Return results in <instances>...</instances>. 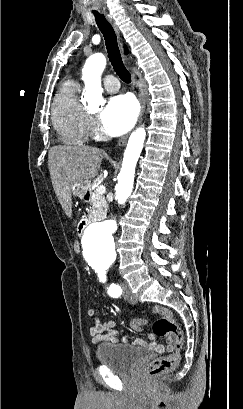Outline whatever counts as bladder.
<instances>
[{
	"label": "bladder",
	"instance_id": "obj_1",
	"mask_svg": "<svg viewBox=\"0 0 243 409\" xmlns=\"http://www.w3.org/2000/svg\"><path fill=\"white\" fill-rule=\"evenodd\" d=\"M150 356L149 350L127 344H103L96 349L98 362L118 373L130 372Z\"/></svg>",
	"mask_w": 243,
	"mask_h": 409
}]
</instances>
